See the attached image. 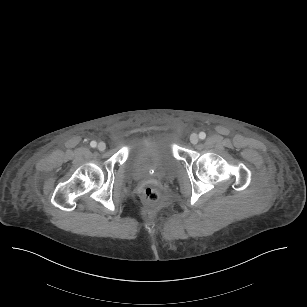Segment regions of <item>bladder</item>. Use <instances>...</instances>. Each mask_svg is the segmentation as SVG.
Listing matches in <instances>:
<instances>
[{"mask_svg":"<svg viewBox=\"0 0 307 307\" xmlns=\"http://www.w3.org/2000/svg\"><path fill=\"white\" fill-rule=\"evenodd\" d=\"M177 164L170 145L155 138L132 145L125 162L128 173L137 180L149 177L151 172L160 177L168 176L175 171Z\"/></svg>","mask_w":307,"mask_h":307,"instance_id":"31cf9c89","label":"bladder"}]
</instances>
